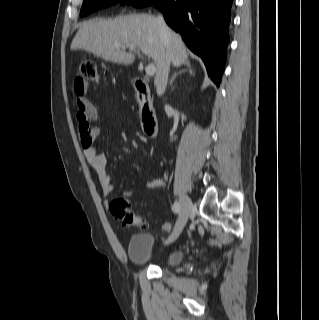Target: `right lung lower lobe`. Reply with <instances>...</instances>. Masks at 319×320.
Instances as JSON below:
<instances>
[{
	"instance_id": "obj_1",
	"label": "right lung lower lobe",
	"mask_w": 319,
	"mask_h": 320,
	"mask_svg": "<svg viewBox=\"0 0 319 320\" xmlns=\"http://www.w3.org/2000/svg\"><path fill=\"white\" fill-rule=\"evenodd\" d=\"M167 24L179 32L186 45L204 61L219 86L229 43L232 0H153Z\"/></svg>"
}]
</instances>
